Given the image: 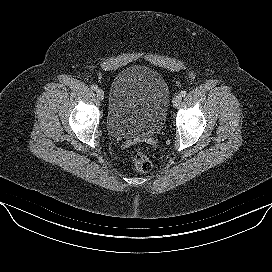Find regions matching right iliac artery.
<instances>
[{"mask_svg": "<svg viewBox=\"0 0 272 272\" xmlns=\"http://www.w3.org/2000/svg\"><path fill=\"white\" fill-rule=\"evenodd\" d=\"M91 89L92 90H97V86L96 85H91Z\"/></svg>", "mask_w": 272, "mask_h": 272, "instance_id": "1", "label": "right iliac artery"}]
</instances>
